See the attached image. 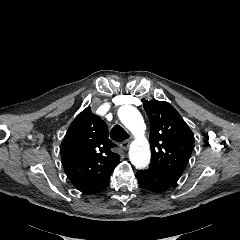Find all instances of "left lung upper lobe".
I'll return each instance as SVG.
<instances>
[{"instance_id": "5c2ea615", "label": "left lung upper lobe", "mask_w": 240, "mask_h": 240, "mask_svg": "<svg viewBox=\"0 0 240 240\" xmlns=\"http://www.w3.org/2000/svg\"><path fill=\"white\" fill-rule=\"evenodd\" d=\"M143 107L151 124L150 166L178 181L192 154L194 134L168 102L145 101Z\"/></svg>"}]
</instances>
